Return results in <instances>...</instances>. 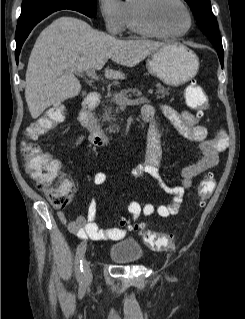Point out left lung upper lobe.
Returning <instances> with one entry per match:
<instances>
[{
  "instance_id": "5c2ea615",
  "label": "left lung upper lobe",
  "mask_w": 245,
  "mask_h": 319,
  "mask_svg": "<svg viewBox=\"0 0 245 319\" xmlns=\"http://www.w3.org/2000/svg\"><path fill=\"white\" fill-rule=\"evenodd\" d=\"M190 6L202 32L216 49L223 50L217 20L210 7V0H185Z\"/></svg>"
}]
</instances>
